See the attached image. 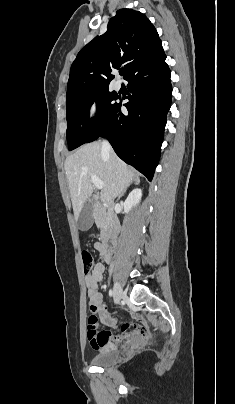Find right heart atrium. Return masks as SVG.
Returning a JSON list of instances; mask_svg holds the SVG:
<instances>
[{"label":"right heart atrium","instance_id":"d8ad5b80","mask_svg":"<svg viewBox=\"0 0 235 404\" xmlns=\"http://www.w3.org/2000/svg\"><path fill=\"white\" fill-rule=\"evenodd\" d=\"M87 117L90 120H96L101 113V104L98 100H92L86 109Z\"/></svg>","mask_w":235,"mask_h":404}]
</instances>
